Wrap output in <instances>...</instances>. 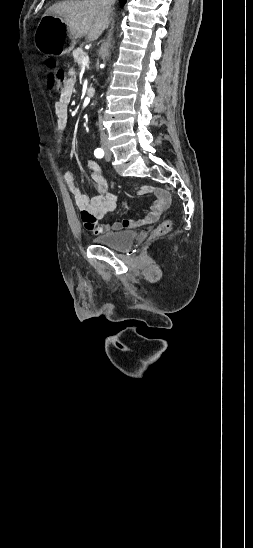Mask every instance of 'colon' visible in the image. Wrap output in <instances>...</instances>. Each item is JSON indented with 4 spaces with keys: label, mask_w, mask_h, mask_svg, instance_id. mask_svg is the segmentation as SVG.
Wrapping results in <instances>:
<instances>
[{
    "label": "colon",
    "mask_w": 253,
    "mask_h": 548,
    "mask_svg": "<svg viewBox=\"0 0 253 548\" xmlns=\"http://www.w3.org/2000/svg\"><path fill=\"white\" fill-rule=\"evenodd\" d=\"M66 83L67 78L65 72L60 68H52L48 75L49 88L54 92L63 93L65 91ZM169 229L170 223L163 222L157 227L155 234L163 235L168 232Z\"/></svg>",
    "instance_id": "obj_1"
}]
</instances>
